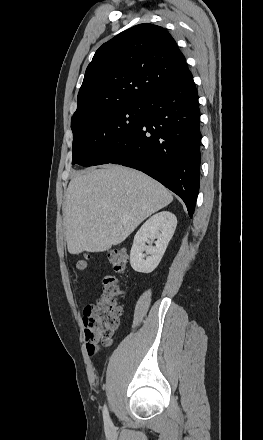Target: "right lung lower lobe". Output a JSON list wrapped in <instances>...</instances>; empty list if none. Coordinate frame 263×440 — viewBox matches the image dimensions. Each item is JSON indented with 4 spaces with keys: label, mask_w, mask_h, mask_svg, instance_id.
<instances>
[{
    "label": "right lung lower lobe",
    "mask_w": 263,
    "mask_h": 440,
    "mask_svg": "<svg viewBox=\"0 0 263 440\" xmlns=\"http://www.w3.org/2000/svg\"><path fill=\"white\" fill-rule=\"evenodd\" d=\"M144 117L108 163L140 170L176 193L192 217L200 181V111L189 72L146 98Z\"/></svg>",
    "instance_id": "1"
}]
</instances>
